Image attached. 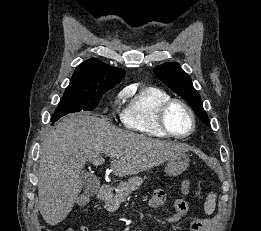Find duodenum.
I'll return each mask as SVG.
<instances>
[{"mask_svg": "<svg viewBox=\"0 0 261 231\" xmlns=\"http://www.w3.org/2000/svg\"><path fill=\"white\" fill-rule=\"evenodd\" d=\"M111 187L109 186V185H103L100 189H99V191H98V196H97V198L99 199V200H103V199H105L108 195H109V193L111 192Z\"/></svg>", "mask_w": 261, "mask_h": 231, "instance_id": "410a0bca", "label": "duodenum"}]
</instances>
